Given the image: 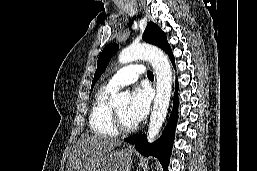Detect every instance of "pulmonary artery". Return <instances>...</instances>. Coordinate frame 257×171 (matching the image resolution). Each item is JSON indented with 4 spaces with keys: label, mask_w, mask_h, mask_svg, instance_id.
I'll list each match as a JSON object with an SVG mask.
<instances>
[{
    "label": "pulmonary artery",
    "mask_w": 257,
    "mask_h": 171,
    "mask_svg": "<svg viewBox=\"0 0 257 171\" xmlns=\"http://www.w3.org/2000/svg\"><path fill=\"white\" fill-rule=\"evenodd\" d=\"M144 73L145 69L143 65L131 63L114 73L109 79L108 85L117 90L123 86L136 82Z\"/></svg>",
    "instance_id": "obj_1"
}]
</instances>
